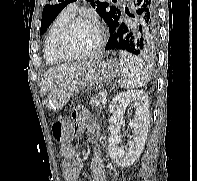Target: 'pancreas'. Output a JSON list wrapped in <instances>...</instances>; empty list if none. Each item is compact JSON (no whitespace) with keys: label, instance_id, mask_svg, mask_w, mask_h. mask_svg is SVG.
Listing matches in <instances>:
<instances>
[{"label":"pancreas","instance_id":"pancreas-1","mask_svg":"<svg viewBox=\"0 0 197 181\" xmlns=\"http://www.w3.org/2000/svg\"><path fill=\"white\" fill-rule=\"evenodd\" d=\"M90 104L93 107H100L101 108V97H99V96L91 97Z\"/></svg>","mask_w":197,"mask_h":181}]
</instances>
